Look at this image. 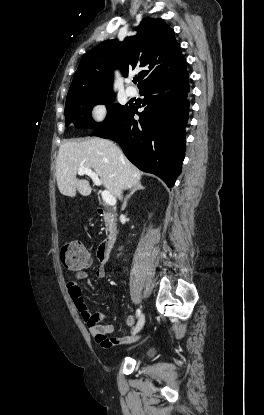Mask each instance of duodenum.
Returning a JSON list of instances; mask_svg holds the SVG:
<instances>
[{"label": "duodenum", "instance_id": "1", "mask_svg": "<svg viewBox=\"0 0 264 415\" xmlns=\"http://www.w3.org/2000/svg\"><path fill=\"white\" fill-rule=\"evenodd\" d=\"M98 213L102 215L111 225V230L108 236L102 241L98 249V258L102 263L109 261L112 250L117 240V230L114 225V214L108 207L98 208Z\"/></svg>", "mask_w": 264, "mask_h": 415}]
</instances>
